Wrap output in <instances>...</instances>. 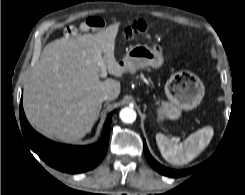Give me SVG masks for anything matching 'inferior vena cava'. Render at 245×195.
Returning a JSON list of instances; mask_svg holds the SVG:
<instances>
[{"label": "inferior vena cava", "instance_id": "obj_1", "mask_svg": "<svg viewBox=\"0 0 245 195\" xmlns=\"http://www.w3.org/2000/svg\"><path fill=\"white\" fill-rule=\"evenodd\" d=\"M107 100H112V96L109 95V94H104V95H101L99 97V101L100 102H104V101H107Z\"/></svg>", "mask_w": 245, "mask_h": 195}]
</instances>
